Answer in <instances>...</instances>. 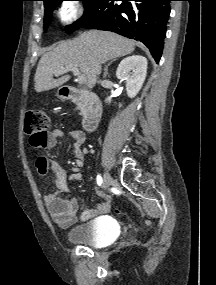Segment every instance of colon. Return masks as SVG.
I'll return each instance as SVG.
<instances>
[{
	"mask_svg": "<svg viewBox=\"0 0 216 285\" xmlns=\"http://www.w3.org/2000/svg\"><path fill=\"white\" fill-rule=\"evenodd\" d=\"M49 117L41 110H29L25 114L24 131L29 137L32 148L42 149L48 143ZM116 214H122L121 209H115Z\"/></svg>",
	"mask_w": 216,
	"mask_h": 285,
	"instance_id": "5ec220e1",
	"label": "colon"
}]
</instances>
